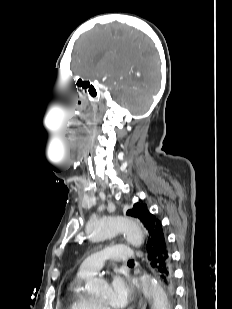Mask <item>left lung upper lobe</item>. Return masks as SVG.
I'll list each match as a JSON object with an SVG mask.
<instances>
[{
	"mask_svg": "<svg viewBox=\"0 0 232 309\" xmlns=\"http://www.w3.org/2000/svg\"><path fill=\"white\" fill-rule=\"evenodd\" d=\"M128 216L137 218L144 226L147 232V243L154 235L156 226L161 223L153 214H151L146 204L135 203L132 208L127 210ZM169 297H172L173 293L166 291Z\"/></svg>",
	"mask_w": 232,
	"mask_h": 309,
	"instance_id": "1",
	"label": "left lung upper lobe"
}]
</instances>
